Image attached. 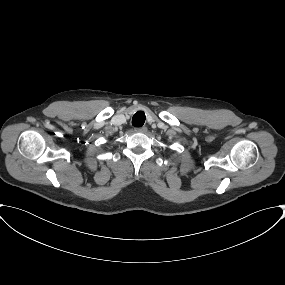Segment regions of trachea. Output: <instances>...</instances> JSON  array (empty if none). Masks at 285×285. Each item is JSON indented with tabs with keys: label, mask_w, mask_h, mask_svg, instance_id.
<instances>
[{
	"label": "trachea",
	"mask_w": 285,
	"mask_h": 285,
	"mask_svg": "<svg viewBox=\"0 0 285 285\" xmlns=\"http://www.w3.org/2000/svg\"><path fill=\"white\" fill-rule=\"evenodd\" d=\"M146 116L143 111H138L132 118V125L134 127H142L145 122Z\"/></svg>",
	"instance_id": "3493384b"
}]
</instances>
